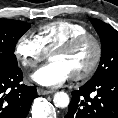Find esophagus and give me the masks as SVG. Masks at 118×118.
<instances>
[{
    "instance_id": "1",
    "label": "esophagus",
    "mask_w": 118,
    "mask_h": 118,
    "mask_svg": "<svg viewBox=\"0 0 118 118\" xmlns=\"http://www.w3.org/2000/svg\"><path fill=\"white\" fill-rule=\"evenodd\" d=\"M37 92H38L39 95H48V94L53 93V91H51V90H45V89H42V88H38Z\"/></svg>"
}]
</instances>
